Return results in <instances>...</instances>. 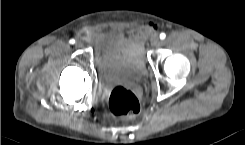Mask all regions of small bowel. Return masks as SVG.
Returning a JSON list of instances; mask_svg holds the SVG:
<instances>
[{
	"label": "small bowel",
	"mask_w": 245,
	"mask_h": 145,
	"mask_svg": "<svg viewBox=\"0 0 245 145\" xmlns=\"http://www.w3.org/2000/svg\"><path fill=\"white\" fill-rule=\"evenodd\" d=\"M152 29H154V27H151V30ZM91 37H92V39L95 41V42H98L99 40H100V38H101V35H100V33H98V32H93V33H91Z\"/></svg>",
	"instance_id": "1"
}]
</instances>
